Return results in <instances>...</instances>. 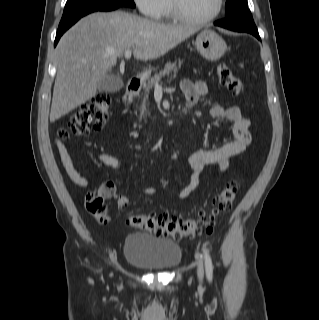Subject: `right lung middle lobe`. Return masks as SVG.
<instances>
[{"mask_svg": "<svg viewBox=\"0 0 319 320\" xmlns=\"http://www.w3.org/2000/svg\"><path fill=\"white\" fill-rule=\"evenodd\" d=\"M117 6L135 7L133 0H67L59 26L96 10L109 9Z\"/></svg>", "mask_w": 319, "mask_h": 320, "instance_id": "obj_1", "label": "right lung middle lobe"}]
</instances>
